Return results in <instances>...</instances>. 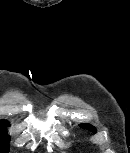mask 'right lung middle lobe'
I'll use <instances>...</instances> for the list:
<instances>
[{
    "label": "right lung middle lobe",
    "mask_w": 130,
    "mask_h": 153,
    "mask_svg": "<svg viewBox=\"0 0 130 153\" xmlns=\"http://www.w3.org/2000/svg\"><path fill=\"white\" fill-rule=\"evenodd\" d=\"M9 126L6 120L0 121V132H3L5 127ZM9 151V136L2 135L0 138V153H8Z\"/></svg>",
    "instance_id": "1"
}]
</instances>
